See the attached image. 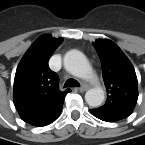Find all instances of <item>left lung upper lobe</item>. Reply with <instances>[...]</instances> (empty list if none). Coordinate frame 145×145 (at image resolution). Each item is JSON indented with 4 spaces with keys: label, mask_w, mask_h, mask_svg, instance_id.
<instances>
[{
    "label": "left lung upper lobe",
    "mask_w": 145,
    "mask_h": 145,
    "mask_svg": "<svg viewBox=\"0 0 145 145\" xmlns=\"http://www.w3.org/2000/svg\"><path fill=\"white\" fill-rule=\"evenodd\" d=\"M94 47L101 60L108 94L106 103L95 110L116 120L124 119L132 113L138 99L135 70L121 49L112 41L97 40Z\"/></svg>",
    "instance_id": "left-lung-upper-lobe-1"
}]
</instances>
